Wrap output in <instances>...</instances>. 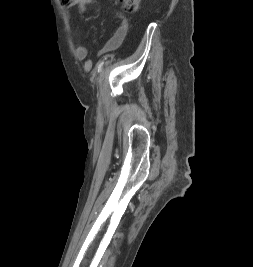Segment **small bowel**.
Segmentation results:
<instances>
[{
	"label": "small bowel",
	"mask_w": 253,
	"mask_h": 267,
	"mask_svg": "<svg viewBox=\"0 0 253 267\" xmlns=\"http://www.w3.org/2000/svg\"><path fill=\"white\" fill-rule=\"evenodd\" d=\"M122 22L117 28L112 37L105 43V45L99 51V55L107 54L117 50L125 40L128 32V22L120 16ZM75 54L79 60H86L88 57V48L82 44L78 39L75 45Z\"/></svg>",
	"instance_id": "1"
}]
</instances>
